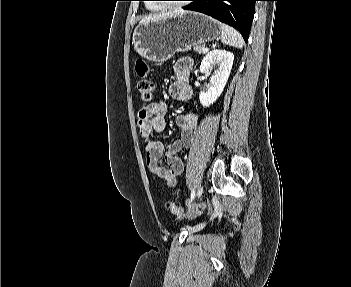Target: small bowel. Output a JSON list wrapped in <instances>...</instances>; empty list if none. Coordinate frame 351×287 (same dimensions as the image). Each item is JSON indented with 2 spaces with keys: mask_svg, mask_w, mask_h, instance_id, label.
I'll return each instance as SVG.
<instances>
[{
  "mask_svg": "<svg viewBox=\"0 0 351 287\" xmlns=\"http://www.w3.org/2000/svg\"><path fill=\"white\" fill-rule=\"evenodd\" d=\"M173 73L175 81L169 88V95L180 102H188L192 96L189 85L190 63L183 61L177 64ZM167 112L166 102H153L139 111L138 128L145 141L146 160L150 171L163 179L170 186H174L177 177L183 172L184 164L178 153L184 148H191L194 144L195 131L198 125V116L191 107L176 118L180 128V138L168 146L160 141L149 138L154 131L160 132L165 128L164 116Z\"/></svg>",
  "mask_w": 351,
  "mask_h": 287,
  "instance_id": "c3829d8e",
  "label": "small bowel"
}]
</instances>
